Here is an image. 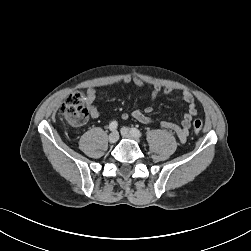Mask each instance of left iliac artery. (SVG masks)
I'll use <instances>...</instances> for the list:
<instances>
[{"mask_svg": "<svg viewBox=\"0 0 251 251\" xmlns=\"http://www.w3.org/2000/svg\"><path fill=\"white\" fill-rule=\"evenodd\" d=\"M131 131H132L133 134H135L138 137L142 136V133L136 128H132Z\"/></svg>", "mask_w": 251, "mask_h": 251, "instance_id": "1", "label": "left iliac artery"}]
</instances>
